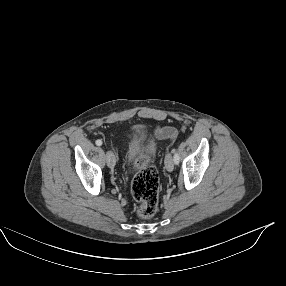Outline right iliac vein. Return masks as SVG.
Listing matches in <instances>:
<instances>
[{
	"mask_svg": "<svg viewBox=\"0 0 286 286\" xmlns=\"http://www.w3.org/2000/svg\"><path fill=\"white\" fill-rule=\"evenodd\" d=\"M106 161H107V165L110 167V168H114L115 164H116V159H115V156L114 154L111 152V151H108L106 153Z\"/></svg>",
	"mask_w": 286,
	"mask_h": 286,
	"instance_id": "1",
	"label": "right iliac vein"
}]
</instances>
